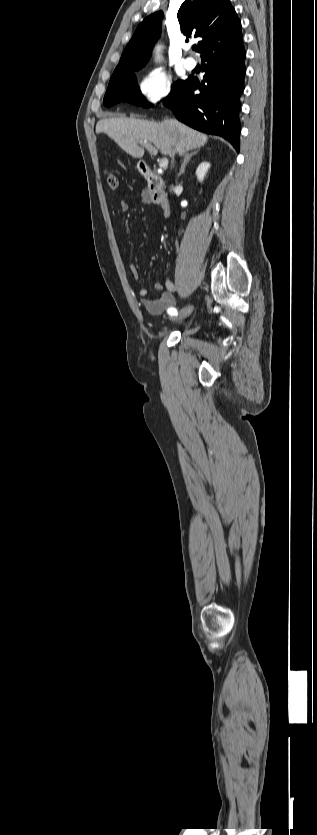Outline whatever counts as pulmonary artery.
I'll return each mask as SVG.
<instances>
[{"label":"pulmonary artery","mask_w":317,"mask_h":835,"mask_svg":"<svg viewBox=\"0 0 317 835\" xmlns=\"http://www.w3.org/2000/svg\"><path fill=\"white\" fill-rule=\"evenodd\" d=\"M196 66H197V61L194 57L189 56L184 60V67L187 70H193V69L196 68Z\"/></svg>","instance_id":"pulmonary-artery-1"}]
</instances>
